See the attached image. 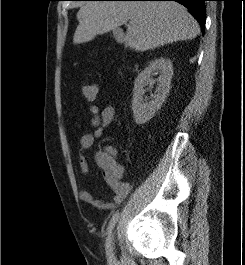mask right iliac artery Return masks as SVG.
I'll return each mask as SVG.
<instances>
[{
  "mask_svg": "<svg viewBox=\"0 0 245 265\" xmlns=\"http://www.w3.org/2000/svg\"><path fill=\"white\" fill-rule=\"evenodd\" d=\"M118 218H119V212L116 211L113 214V216H112V218H111V220L109 222V225H108V228H107L108 233H110L112 231V229L114 228L116 222L118 221Z\"/></svg>",
  "mask_w": 245,
  "mask_h": 265,
  "instance_id": "right-iliac-artery-1",
  "label": "right iliac artery"
}]
</instances>
